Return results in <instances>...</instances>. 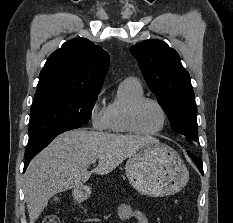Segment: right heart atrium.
<instances>
[{"mask_svg":"<svg viewBox=\"0 0 233 223\" xmlns=\"http://www.w3.org/2000/svg\"><path fill=\"white\" fill-rule=\"evenodd\" d=\"M90 120L93 127L97 130H104L108 126L107 107L100 104L97 99L91 106L89 112Z\"/></svg>","mask_w":233,"mask_h":223,"instance_id":"d8ad5b80","label":"right heart atrium"}]
</instances>
